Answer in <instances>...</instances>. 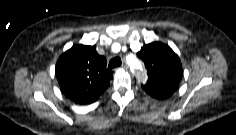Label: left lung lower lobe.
Returning <instances> with one entry per match:
<instances>
[{
	"mask_svg": "<svg viewBox=\"0 0 236 135\" xmlns=\"http://www.w3.org/2000/svg\"><path fill=\"white\" fill-rule=\"evenodd\" d=\"M165 98H168V97H164V98H158V99H165Z\"/></svg>",
	"mask_w": 236,
	"mask_h": 135,
	"instance_id": "0a47b994",
	"label": "left lung lower lobe"
}]
</instances>
